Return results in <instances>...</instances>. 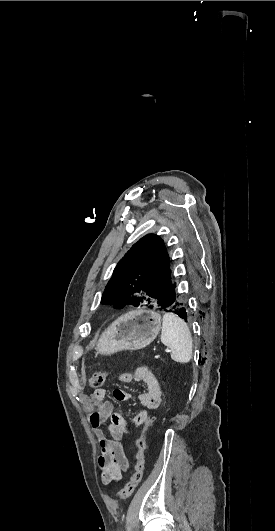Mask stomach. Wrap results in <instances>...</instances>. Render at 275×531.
<instances>
[{"mask_svg":"<svg viewBox=\"0 0 275 531\" xmlns=\"http://www.w3.org/2000/svg\"><path fill=\"white\" fill-rule=\"evenodd\" d=\"M161 325V315L156 311H129L105 329L95 351L98 355H114L118 351L144 349L159 335Z\"/></svg>","mask_w":275,"mask_h":531,"instance_id":"stomach-1","label":"stomach"}]
</instances>
